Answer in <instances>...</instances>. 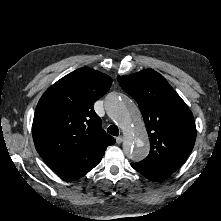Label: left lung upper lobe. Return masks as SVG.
<instances>
[{
    "label": "left lung upper lobe",
    "mask_w": 221,
    "mask_h": 221,
    "mask_svg": "<svg viewBox=\"0 0 221 221\" xmlns=\"http://www.w3.org/2000/svg\"><path fill=\"white\" fill-rule=\"evenodd\" d=\"M117 80L138 103L150 137V153L137 164L173 173L194 147L196 127L192 112L167 80L153 69L117 76Z\"/></svg>",
    "instance_id": "left-lung-upper-lobe-1"
}]
</instances>
